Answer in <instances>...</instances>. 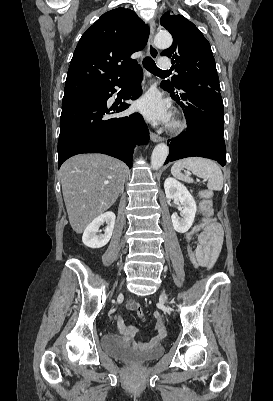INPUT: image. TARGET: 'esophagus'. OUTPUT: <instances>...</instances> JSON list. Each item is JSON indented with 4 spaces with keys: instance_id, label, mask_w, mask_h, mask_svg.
Listing matches in <instances>:
<instances>
[{
    "instance_id": "obj_1",
    "label": "esophagus",
    "mask_w": 273,
    "mask_h": 401,
    "mask_svg": "<svg viewBox=\"0 0 273 401\" xmlns=\"http://www.w3.org/2000/svg\"><path fill=\"white\" fill-rule=\"evenodd\" d=\"M154 33H155V22L152 19L150 21V34H149V39H148V44H147V54L149 57H151L153 60H156L159 55L158 49L155 47L153 40H154ZM150 137L153 142H160L163 141V138L156 133L150 131Z\"/></svg>"
}]
</instances>
